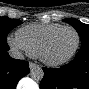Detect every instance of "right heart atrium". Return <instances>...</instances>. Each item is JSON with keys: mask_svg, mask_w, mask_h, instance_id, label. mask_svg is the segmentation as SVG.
Instances as JSON below:
<instances>
[{"mask_svg": "<svg viewBox=\"0 0 89 89\" xmlns=\"http://www.w3.org/2000/svg\"><path fill=\"white\" fill-rule=\"evenodd\" d=\"M8 43L13 49L17 51H26L24 45L17 36L10 35L8 37Z\"/></svg>", "mask_w": 89, "mask_h": 89, "instance_id": "obj_1", "label": "right heart atrium"}]
</instances>
